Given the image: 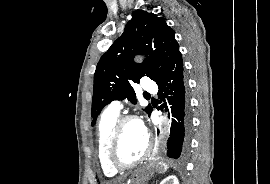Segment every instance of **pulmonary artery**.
Returning a JSON list of instances; mask_svg holds the SVG:
<instances>
[{
    "label": "pulmonary artery",
    "instance_id": "e3ab8cb5",
    "mask_svg": "<svg viewBox=\"0 0 270 184\" xmlns=\"http://www.w3.org/2000/svg\"><path fill=\"white\" fill-rule=\"evenodd\" d=\"M142 88L144 91L149 93H155L157 91V86L155 82L150 79H145L143 81ZM110 109L119 112L122 109V105L119 101H113L110 105Z\"/></svg>",
    "mask_w": 270,
    "mask_h": 184
}]
</instances>
